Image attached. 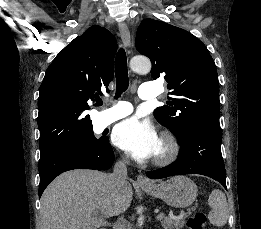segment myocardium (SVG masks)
Here are the masks:
<instances>
[{"label":"myocardium","instance_id":"myocardium-1","mask_svg":"<svg viewBox=\"0 0 261 229\" xmlns=\"http://www.w3.org/2000/svg\"><path fill=\"white\" fill-rule=\"evenodd\" d=\"M161 149L154 155L153 164L157 166H166L175 161L179 155V146L175 137L164 132L160 139Z\"/></svg>","mask_w":261,"mask_h":229}]
</instances>
